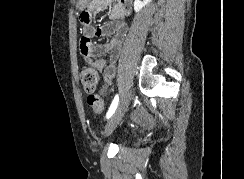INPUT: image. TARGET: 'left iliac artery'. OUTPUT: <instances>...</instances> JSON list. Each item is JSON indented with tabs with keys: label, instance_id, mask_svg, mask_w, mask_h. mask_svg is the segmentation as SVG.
Wrapping results in <instances>:
<instances>
[{
	"label": "left iliac artery",
	"instance_id": "44dca946",
	"mask_svg": "<svg viewBox=\"0 0 244 179\" xmlns=\"http://www.w3.org/2000/svg\"><path fill=\"white\" fill-rule=\"evenodd\" d=\"M118 102H119V96L116 95L114 97V100L112 101V104H111L107 114H106V118L107 119H109L113 115V113L115 112V110H116V108L118 106Z\"/></svg>",
	"mask_w": 244,
	"mask_h": 179
}]
</instances>
